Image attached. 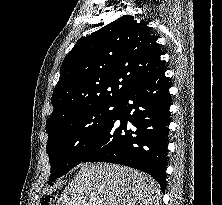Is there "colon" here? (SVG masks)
I'll return each instance as SVG.
<instances>
[{
	"mask_svg": "<svg viewBox=\"0 0 222 205\" xmlns=\"http://www.w3.org/2000/svg\"><path fill=\"white\" fill-rule=\"evenodd\" d=\"M41 205H51V203L49 201H45Z\"/></svg>",
	"mask_w": 222,
	"mask_h": 205,
	"instance_id": "colon-1",
	"label": "colon"
}]
</instances>
